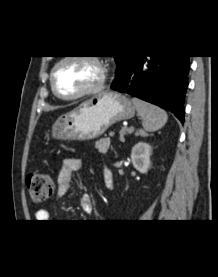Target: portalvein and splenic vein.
I'll return each mask as SVG.
<instances>
[{"mask_svg": "<svg viewBox=\"0 0 218 277\" xmlns=\"http://www.w3.org/2000/svg\"><path fill=\"white\" fill-rule=\"evenodd\" d=\"M125 131L128 133H132L134 131V128L133 127L126 128ZM114 135L115 133L113 131L109 133V137H113Z\"/></svg>", "mask_w": 218, "mask_h": 277, "instance_id": "1", "label": "portal vein and splenic vein"}]
</instances>
